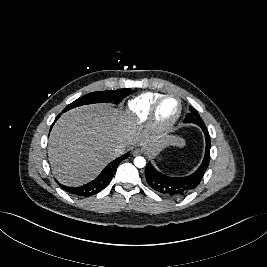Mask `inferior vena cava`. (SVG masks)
<instances>
[{
    "instance_id": "inferior-vena-cava-1",
    "label": "inferior vena cava",
    "mask_w": 267,
    "mask_h": 267,
    "mask_svg": "<svg viewBox=\"0 0 267 267\" xmlns=\"http://www.w3.org/2000/svg\"><path fill=\"white\" fill-rule=\"evenodd\" d=\"M126 148L123 145H117L114 148V154L116 156L122 155L125 152Z\"/></svg>"
}]
</instances>
